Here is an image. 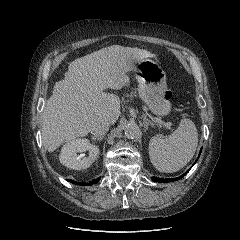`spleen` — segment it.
Returning <instances> with one entry per match:
<instances>
[{"label": "spleen", "instance_id": "spleen-1", "mask_svg": "<svg viewBox=\"0 0 240 240\" xmlns=\"http://www.w3.org/2000/svg\"><path fill=\"white\" fill-rule=\"evenodd\" d=\"M197 144L195 124L190 119H182L168 138L154 136L150 139L148 150L151 163L160 172H176L192 159Z\"/></svg>", "mask_w": 240, "mask_h": 240}]
</instances>
